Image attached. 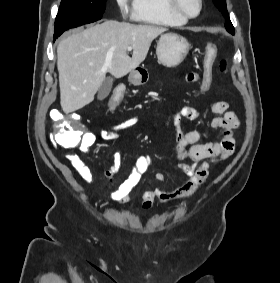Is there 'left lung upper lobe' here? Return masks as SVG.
I'll return each instance as SVG.
<instances>
[{
  "label": "left lung upper lobe",
  "instance_id": "obj_1",
  "mask_svg": "<svg viewBox=\"0 0 280 283\" xmlns=\"http://www.w3.org/2000/svg\"><path fill=\"white\" fill-rule=\"evenodd\" d=\"M215 6L222 12L223 16L227 19L225 23L226 30L234 34V27L229 19L225 0H213Z\"/></svg>",
  "mask_w": 280,
  "mask_h": 283
}]
</instances>
